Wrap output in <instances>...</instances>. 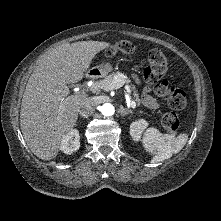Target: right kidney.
<instances>
[{
	"mask_svg": "<svg viewBox=\"0 0 221 221\" xmlns=\"http://www.w3.org/2000/svg\"><path fill=\"white\" fill-rule=\"evenodd\" d=\"M79 147V131L77 129H73L62 139L60 150L66 154H72L73 152L77 151Z\"/></svg>",
	"mask_w": 221,
	"mask_h": 221,
	"instance_id": "ca27d5eb",
	"label": "right kidney"
}]
</instances>
